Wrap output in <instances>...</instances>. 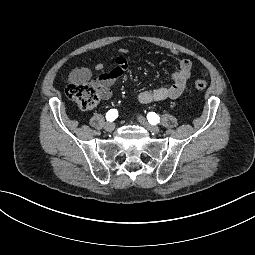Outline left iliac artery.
Wrapping results in <instances>:
<instances>
[{
    "label": "left iliac artery",
    "mask_w": 255,
    "mask_h": 255,
    "mask_svg": "<svg viewBox=\"0 0 255 255\" xmlns=\"http://www.w3.org/2000/svg\"><path fill=\"white\" fill-rule=\"evenodd\" d=\"M147 119H148L149 123L152 125H156L160 121L159 116L154 112H149L147 114Z\"/></svg>",
    "instance_id": "1"
}]
</instances>
